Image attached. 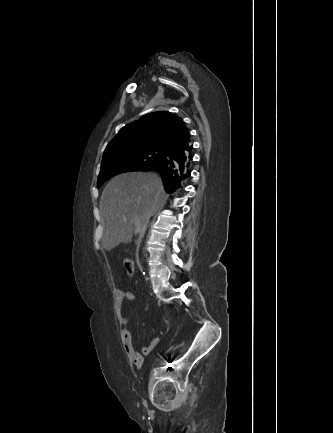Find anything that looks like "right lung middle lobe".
<instances>
[{"label":"right lung middle lobe","instance_id":"right-lung-middle-lobe-1","mask_svg":"<svg viewBox=\"0 0 333 433\" xmlns=\"http://www.w3.org/2000/svg\"><path fill=\"white\" fill-rule=\"evenodd\" d=\"M166 156L163 150L156 148H128L112 153L102 159L97 186L110 177L131 170H148Z\"/></svg>","mask_w":333,"mask_h":433}]
</instances>
